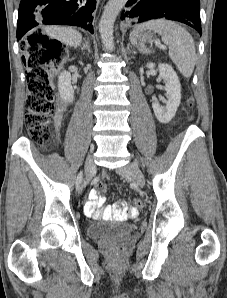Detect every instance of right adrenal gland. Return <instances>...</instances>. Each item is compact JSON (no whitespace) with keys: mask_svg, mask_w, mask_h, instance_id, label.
Listing matches in <instances>:
<instances>
[{"mask_svg":"<svg viewBox=\"0 0 227 298\" xmlns=\"http://www.w3.org/2000/svg\"><path fill=\"white\" fill-rule=\"evenodd\" d=\"M82 50H87L88 53H90L89 41H87L86 39H84V43L82 44Z\"/></svg>","mask_w":227,"mask_h":298,"instance_id":"obj_1","label":"right adrenal gland"}]
</instances>
